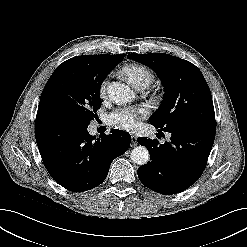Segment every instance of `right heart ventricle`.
<instances>
[{
  "instance_id": "1",
  "label": "right heart ventricle",
  "mask_w": 247,
  "mask_h": 247,
  "mask_svg": "<svg viewBox=\"0 0 247 247\" xmlns=\"http://www.w3.org/2000/svg\"><path fill=\"white\" fill-rule=\"evenodd\" d=\"M123 73L127 76L128 80L135 87L138 83L147 81L149 84L152 82L153 74L146 67L138 64H131L123 68Z\"/></svg>"
}]
</instances>
